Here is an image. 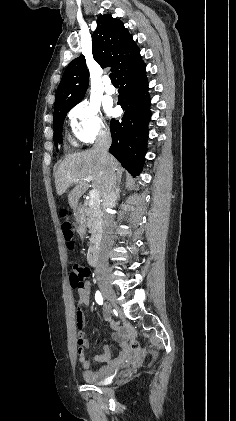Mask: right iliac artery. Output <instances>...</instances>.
<instances>
[{"label": "right iliac artery", "mask_w": 236, "mask_h": 421, "mask_svg": "<svg viewBox=\"0 0 236 421\" xmlns=\"http://www.w3.org/2000/svg\"><path fill=\"white\" fill-rule=\"evenodd\" d=\"M95 300L99 305L103 304V298H102V295H101L100 291H96Z\"/></svg>", "instance_id": "1"}]
</instances>
